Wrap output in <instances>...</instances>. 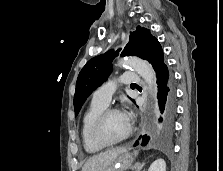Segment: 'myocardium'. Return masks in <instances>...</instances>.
<instances>
[{"instance_id": "myocardium-1", "label": "myocardium", "mask_w": 223, "mask_h": 171, "mask_svg": "<svg viewBox=\"0 0 223 171\" xmlns=\"http://www.w3.org/2000/svg\"><path fill=\"white\" fill-rule=\"evenodd\" d=\"M112 113H121V111L114 107L105 108L103 111H101L97 115V117L94 119L92 126H91V136H92L93 140L98 145L103 146V147L114 146V145H117V144L125 141L126 139H128L131 136L132 131H133L132 125L129 122L128 131L126 132V134L124 136H122L121 138L114 140V141L107 140L102 134V126H103L105 119Z\"/></svg>"}]
</instances>
